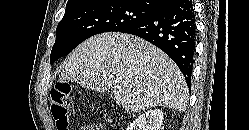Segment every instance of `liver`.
<instances>
[{"instance_id": "6515ba94", "label": "liver", "mask_w": 249, "mask_h": 130, "mask_svg": "<svg viewBox=\"0 0 249 130\" xmlns=\"http://www.w3.org/2000/svg\"><path fill=\"white\" fill-rule=\"evenodd\" d=\"M60 82L105 92L126 111L156 106L184 111L189 91L178 66L169 56L142 38L106 32L81 43L63 64Z\"/></svg>"}]
</instances>
